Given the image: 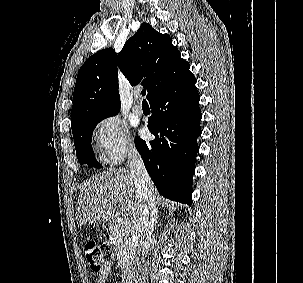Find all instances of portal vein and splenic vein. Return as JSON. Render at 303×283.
Here are the masks:
<instances>
[{"label": "portal vein and splenic vein", "mask_w": 303, "mask_h": 283, "mask_svg": "<svg viewBox=\"0 0 303 283\" xmlns=\"http://www.w3.org/2000/svg\"><path fill=\"white\" fill-rule=\"evenodd\" d=\"M122 225H124L126 228H129V222L128 221H122Z\"/></svg>", "instance_id": "obj_1"}]
</instances>
